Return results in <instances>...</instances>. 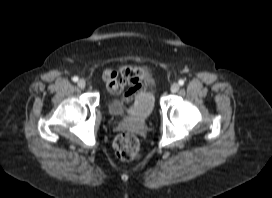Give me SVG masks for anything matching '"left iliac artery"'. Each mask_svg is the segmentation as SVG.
Wrapping results in <instances>:
<instances>
[{"label": "left iliac artery", "instance_id": "left-iliac-artery-1", "mask_svg": "<svg viewBox=\"0 0 272 198\" xmlns=\"http://www.w3.org/2000/svg\"><path fill=\"white\" fill-rule=\"evenodd\" d=\"M178 83L180 86H182V85H184V80L180 79Z\"/></svg>", "mask_w": 272, "mask_h": 198}]
</instances>
